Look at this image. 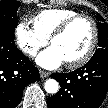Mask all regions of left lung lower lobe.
<instances>
[{
  "label": "left lung lower lobe",
  "instance_id": "left-lung-lower-lobe-1",
  "mask_svg": "<svg viewBox=\"0 0 108 108\" xmlns=\"http://www.w3.org/2000/svg\"><path fill=\"white\" fill-rule=\"evenodd\" d=\"M51 76L61 88L48 98V108H99L108 92V58H92L75 71Z\"/></svg>",
  "mask_w": 108,
  "mask_h": 108
}]
</instances>
